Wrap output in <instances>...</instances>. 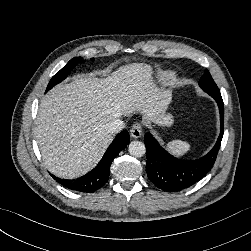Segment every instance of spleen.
<instances>
[{"instance_id": "3e777b00", "label": "spleen", "mask_w": 251, "mask_h": 251, "mask_svg": "<svg viewBox=\"0 0 251 251\" xmlns=\"http://www.w3.org/2000/svg\"><path fill=\"white\" fill-rule=\"evenodd\" d=\"M166 148L169 152H171L175 156H183L190 150V145L181 140H174L169 142L166 145Z\"/></svg>"}]
</instances>
